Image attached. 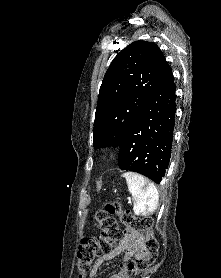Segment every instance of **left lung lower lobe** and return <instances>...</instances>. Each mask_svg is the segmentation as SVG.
Here are the masks:
<instances>
[{
  "mask_svg": "<svg viewBox=\"0 0 221 278\" xmlns=\"http://www.w3.org/2000/svg\"><path fill=\"white\" fill-rule=\"evenodd\" d=\"M175 99L174 77L168 65L120 145V169L143 174L157 184L161 182L171 156Z\"/></svg>",
  "mask_w": 221,
  "mask_h": 278,
  "instance_id": "obj_1",
  "label": "left lung lower lobe"
}]
</instances>
